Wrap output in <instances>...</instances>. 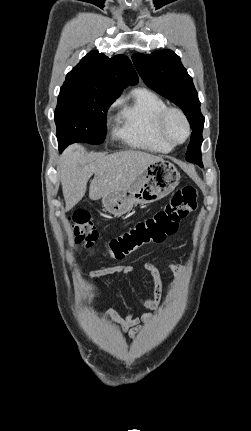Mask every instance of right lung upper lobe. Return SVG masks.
<instances>
[{
    "label": "right lung upper lobe",
    "instance_id": "cb5924a9",
    "mask_svg": "<svg viewBox=\"0 0 251 431\" xmlns=\"http://www.w3.org/2000/svg\"><path fill=\"white\" fill-rule=\"evenodd\" d=\"M137 82L138 76L128 57L119 54L109 58L91 51L67 74L63 86L119 97L123 88Z\"/></svg>",
    "mask_w": 251,
    "mask_h": 431
}]
</instances>
